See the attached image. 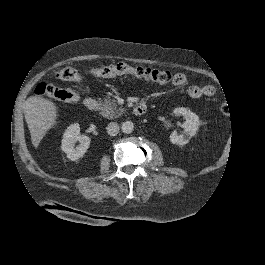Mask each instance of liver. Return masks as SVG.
Wrapping results in <instances>:
<instances>
[{
	"label": "liver",
	"mask_w": 265,
	"mask_h": 265,
	"mask_svg": "<svg viewBox=\"0 0 265 265\" xmlns=\"http://www.w3.org/2000/svg\"><path fill=\"white\" fill-rule=\"evenodd\" d=\"M24 113L32 144L37 148L46 132L55 124L56 106L40 96H32L25 103Z\"/></svg>",
	"instance_id": "6515ba94"
}]
</instances>
